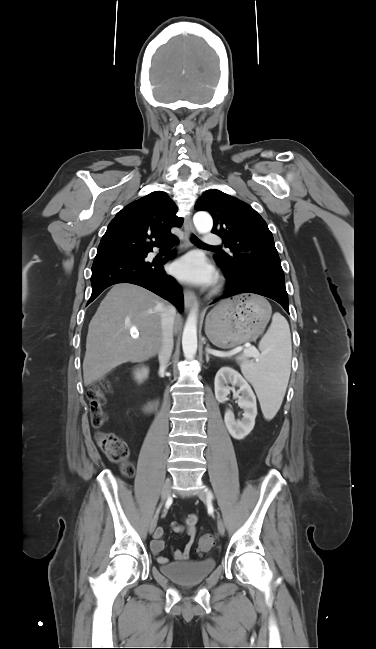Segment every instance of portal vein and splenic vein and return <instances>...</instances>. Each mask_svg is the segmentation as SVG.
<instances>
[{
	"label": "portal vein and splenic vein",
	"instance_id": "18ae733b",
	"mask_svg": "<svg viewBox=\"0 0 376 649\" xmlns=\"http://www.w3.org/2000/svg\"><path fill=\"white\" fill-rule=\"evenodd\" d=\"M239 350H240V348H235V349H233V350H231V351L229 352V355H234V354H236ZM209 352H210L211 354H213V355H216V352H215L214 350H209ZM244 356H245V357H255V358H256V357H257V354H256V352H255L254 350H248V351H247V354H245Z\"/></svg>",
	"mask_w": 376,
	"mask_h": 649
}]
</instances>
